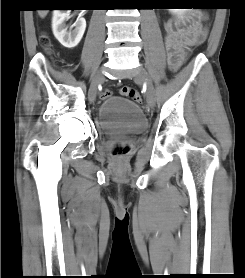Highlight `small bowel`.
<instances>
[{
	"label": "small bowel",
	"instance_id": "small-bowel-1",
	"mask_svg": "<svg viewBox=\"0 0 245 278\" xmlns=\"http://www.w3.org/2000/svg\"><path fill=\"white\" fill-rule=\"evenodd\" d=\"M166 32V48L168 65L177 70L186 58V48L203 42L207 30L203 25L200 15H195L181 22L170 19L164 24Z\"/></svg>",
	"mask_w": 245,
	"mask_h": 278
}]
</instances>
